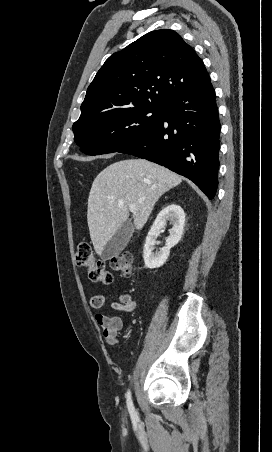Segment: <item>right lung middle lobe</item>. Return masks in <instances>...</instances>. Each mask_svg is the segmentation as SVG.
<instances>
[{
	"mask_svg": "<svg viewBox=\"0 0 272 452\" xmlns=\"http://www.w3.org/2000/svg\"><path fill=\"white\" fill-rule=\"evenodd\" d=\"M162 107L138 106L102 113L73 124L74 141L88 155L118 152L159 119Z\"/></svg>",
	"mask_w": 272,
	"mask_h": 452,
	"instance_id": "1",
	"label": "right lung middle lobe"
}]
</instances>
